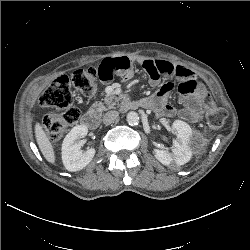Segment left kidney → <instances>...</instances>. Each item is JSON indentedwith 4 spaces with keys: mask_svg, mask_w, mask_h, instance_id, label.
Instances as JSON below:
<instances>
[{
    "mask_svg": "<svg viewBox=\"0 0 250 250\" xmlns=\"http://www.w3.org/2000/svg\"><path fill=\"white\" fill-rule=\"evenodd\" d=\"M172 128L177 132L173 142L172 152L162 149H154L155 158L163 165L181 166L190 161L192 157V145L194 144V133L191 127L184 121L175 120Z\"/></svg>",
    "mask_w": 250,
    "mask_h": 250,
    "instance_id": "1",
    "label": "left kidney"
}]
</instances>
